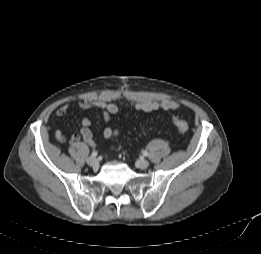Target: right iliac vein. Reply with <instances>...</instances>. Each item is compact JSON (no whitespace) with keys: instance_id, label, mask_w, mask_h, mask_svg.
Masks as SVG:
<instances>
[{"instance_id":"63e3f726","label":"right iliac vein","mask_w":261,"mask_h":254,"mask_svg":"<svg viewBox=\"0 0 261 254\" xmlns=\"http://www.w3.org/2000/svg\"><path fill=\"white\" fill-rule=\"evenodd\" d=\"M86 162L88 165H90L91 167H93L94 169L98 168V161L95 157L90 156L86 159Z\"/></svg>"}]
</instances>
